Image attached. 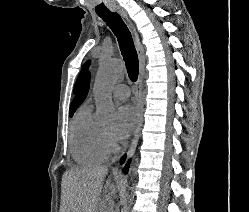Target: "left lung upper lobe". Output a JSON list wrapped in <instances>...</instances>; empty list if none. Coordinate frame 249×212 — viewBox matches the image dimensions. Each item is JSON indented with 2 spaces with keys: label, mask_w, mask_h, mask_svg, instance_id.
I'll return each instance as SVG.
<instances>
[{
  "label": "left lung upper lobe",
  "mask_w": 249,
  "mask_h": 212,
  "mask_svg": "<svg viewBox=\"0 0 249 212\" xmlns=\"http://www.w3.org/2000/svg\"><path fill=\"white\" fill-rule=\"evenodd\" d=\"M89 65H90V61H87V62L84 64V66H83V68H82V71H81V73H80V75H79V77H78V79H77L76 84H75V88H74L75 91L77 90V88H78V86H79V84H80V82H81V80H82V78H83V76H84V74H85L87 68L89 67Z\"/></svg>",
  "instance_id": "1"
}]
</instances>
